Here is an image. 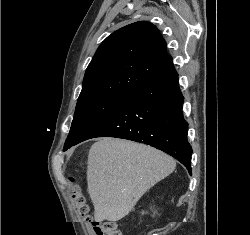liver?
I'll list each match as a JSON object with an SVG mask.
<instances>
[{
    "label": "liver",
    "instance_id": "1",
    "mask_svg": "<svg viewBox=\"0 0 250 235\" xmlns=\"http://www.w3.org/2000/svg\"><path fill=\"white\" fill-rule=\"evenodd\" d=\"M175 167L172 157L153 147L115 138L98 140L91 146L87 161L95 220H121Z\"/></svg>",
    "mask_w": 250,
    "mask_h": 235
}]
</instances>
